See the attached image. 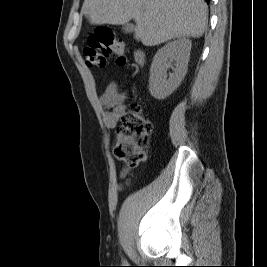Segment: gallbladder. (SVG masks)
I'll return each instance as SVG.
<instances>
[{
  "label": "gallbladder",
  "instance_id": "1",
  "mask_svg": "<svg viewBox=\"0 0 267 267\" xmlns=\"http://www.w3.org/2000/svg\"><path fill=\"white\" fill-rule=\"evenodd\" d=\"M123 30H124L126 33L132 32V31L135 30V25L132 24V23H127V24L124 25Z\"/></svg>",
  "mask_w": 267,
  "mask_h": 267
}]
</instances>
